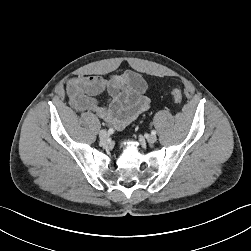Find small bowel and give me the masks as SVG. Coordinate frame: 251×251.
<instances>
[{"label":"small bowel","mask_w":251,"mask_h":251,"mask_svg":"<svg viewBox=\"0 0 251 251\" xmlns=\"http://www.w3.org/2000/svg\"><path fill=\"white\" fill-rule=\"evenodd\" d=\"M144 77L128 70L107 78L85 75L72 78L66 89L71 106L81 113H92L116 130H122L148 110L150 100ZM106 92L107 104L101 106L98 96Z\"/></svg>","instance_id":"obj_1"}]
</instances>
